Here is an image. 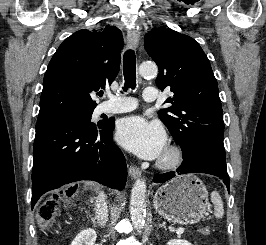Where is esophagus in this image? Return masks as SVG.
Instances as JSON below:
<instances>
[{
  "label": "esophagus",
  "mask_w": 266,
  "mask_h": 245,
  "mask_svg": "<svg viewBox=\"0 0 266 245\" xmlns=\"http://www.w3.org/2000/svg\"><path fill=\"white\" fill-rule=\"evenodd\" d=\"M140 34L136 29L131 28L127 32V45L129 48H137L139 45ZM129 175L131 178L136 179L141 176V171L134 166H130Z\"/></svg>",
  "instance_id": "34e87169"
}]
</instances>
